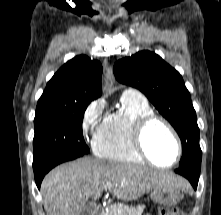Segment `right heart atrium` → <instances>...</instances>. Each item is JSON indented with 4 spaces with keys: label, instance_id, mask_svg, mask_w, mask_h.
<instances>
[{
    "label": "right heart atrium",
    "instance_id": "right-heart-atrium-1",
    "mask_svg": "<svg viewBox=\"0 0 221 215\" xmlns=\"http://www.w3.org/2000/svg\"><path fill=\"white\" fill-rule=\"evenodd\" d=\"M103 110L104 105L100 100H95L88 105L82 118V131L84 135L96 136L101 126Z\"/></svg>",
    "mask_w": 221,
    "mask_h": 215
}]
</instances>
